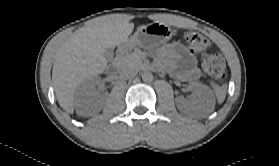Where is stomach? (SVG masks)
<instances>
[{"instance_id": "obj_1", "label": "stomach", "mask_w": 279, "mask_h": 166, "mask_svg": "<svg viewBox=\"0 0 279 166\" xmlns=\"http://www.w3.org/2000/svg\"><path fill=\"white\" fill-rule=\"evenodd\" d=\"M172 36L173 31L168 25L156 22L137 30L121 46L125 50H131L136 46L150 49L169 41Z\"/></svg>"}]
</instances>
